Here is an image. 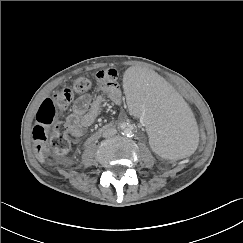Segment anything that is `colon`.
Listing matches in <instances>:
<instances>
[{"label": "colon", "instance_id": "obj_1", "mask_svg": "<svg viewBox=\"0 0 243 243\" xmlns=\"http://www.w3.org/2000/svg\"><path fill=\"white\" fill-rule=\"evenodd\" d=\"M107 77L106 73H102V78ZM90 87V82L85 78H79L74 82L73 89L62 88L56 91L50 98H47L41 104L37 113V124L32 130L33 148L36 154L43 158L48 151L49 144L58 154H65L71 148V141L67 136V126L62 122L53 125V136L48 142V128L53 124L54 117L58 110L67 109L73 99V93H83ZM198 129V144L195 147L197 153L204 151L208 130L204 127L203 121H196Z\"/></svg>", "mask_w": 243, "mask_h": 243}]
</instances>
